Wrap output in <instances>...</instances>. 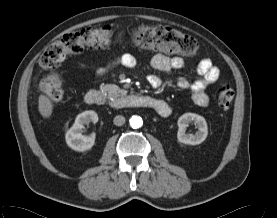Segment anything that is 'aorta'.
I'll list each match as a JSON object with an SVG mask.
<instances>
[{"label":"aorta","instance_id":"obj_1","mask_svg":"<svg viewBox=\"0 0 277 218\" xmlns=\"http://www.w3.org/2000/svg\"><path fill=\"white\" fill-rule=\"evenodd\" d=\"M129 123L133 129H137L143 125V120L140 116H132L129 120Z\"/></svg>","mask_w":277,"mask_h":218}]
</instances>
